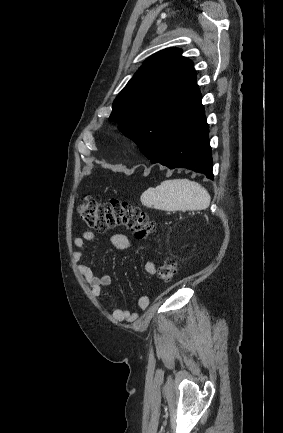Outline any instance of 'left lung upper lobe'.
<instances>
[{
    "label": "left lung upper lobe",
    "instance_id": "5c2ea615",
    "mask_svg": "<svg viewBox=\"0 0 283 433\" xmlns=\"http://www.w3.org/2000/svg\"><path fill=\"white\" fill-rule=\"evenodd\" d=\"M181 52L153 54L114 100L109 120L138 146L155 125H175L203 109L193 62Z\"/></svg>",
    "mask_w": 283,
    "mask_h": 433
}]
</instances>
